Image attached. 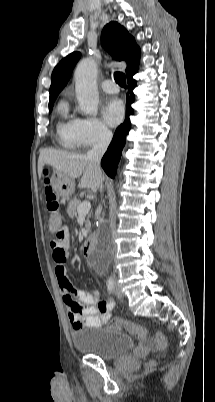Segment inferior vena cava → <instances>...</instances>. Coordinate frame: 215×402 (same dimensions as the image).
Instances as JSON below:
<instances>
[{"mask_svg":"<svg viewBox=\"0 0 215 402\" xmlns=\"http://www.w3.org/2000/svg\"><path fill=\"white\" fill-rule=\"evenodd\" d=\"M112 139V133L107 129H102L98 135L96 143L93 148L87 152V159L92 163V165L100 171V161L102 156L107 150L108 145ZM103 186L101 184L100 191H102ZM113 279H115V274H113Z\"/></svg>","mask_w":215,"mask_h":402,"instance_id":"1","label":"inferior vena cava"}]
</instances>
